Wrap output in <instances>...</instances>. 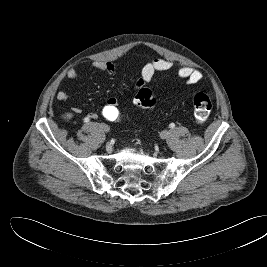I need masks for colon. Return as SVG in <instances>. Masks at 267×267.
<instances>
[{
    "instance_id": "obj_1",
    "label": "colon",
    "mask_w": 267,
    "mask_h": 267,
    "mask_svg": "<svg viewBox=\"0 0 267 267\" xmlns=\"http://www.w3.org/2000/svg\"><path fill=\"white\" fill-rule=\"evenodd\" d=\"M135 103L142 108L152 109L156 104V99L150 89L141 88L135 97ZM193 110L196 120L199 123L205 122L212 110L209 97L204 93H196L193 97ZM99 115L110 123H118L122 120L119 104L109 99L101 106Z\"/></svg>"
}]
</instances>
